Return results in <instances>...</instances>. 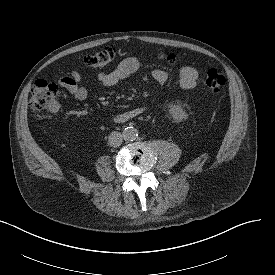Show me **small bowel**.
<instances>
[{
    "instance_id": "c3829d8e",
    "label": "small bowel",
    "mask_w": 275,
    "mask_h": 275,
    "mask_svg": "<svg viewBox=\"0 0 275 275\" xmlns=\"http://www.w3.org/2000/svg\"><path fill=\"white\" fill-rule=\"evenodd\" d=\"M139 68V61L135 57L124 58L114 69L102 72L97 76L96 82L99 87L110 88L116 86L122 79L133 75ZM154 80L160 85L165 86L168 82V73L161 69L152 70ZM199 73L192 66H184L179 71V85L183 89H192L196 86ZM59 85L67 90L76 100L83 101L89 95L88 87L84 84L83 77L79 71L73 70L69 75L59 79ZM145 106H138L122 112L116 116L120 122L131 120L145 111Z\"/></svg>"
}]
</instances>
